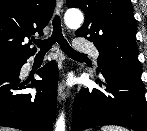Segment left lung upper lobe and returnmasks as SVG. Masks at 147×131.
<instances>
[{
	"label": "left lung upper lobe",
	"mask_w": 147,
	"mask_h": 131,
	"mask_svg": "<svg viewBox=\"0 0 147 131\" xmlns=\"http://www.w3.org/2000/svg\"><path fill=\"white\" fill-rule=\"evenodd\" d=\"M86 16L76 36L94 42L98 65L141 78L136 44L137 25L130 0H66Z\"/></svg>",
	"instance_id": "5c2ea615"
}]
</instances>
